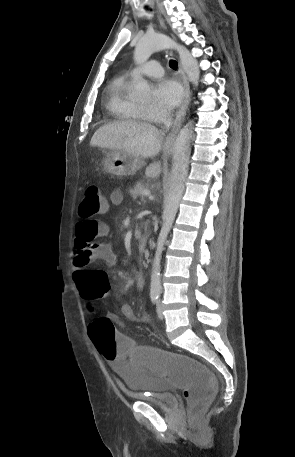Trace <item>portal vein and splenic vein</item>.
<instances>
[{
    "mask_svg": "<svg viewBox=\"0 0 295 457\" xmlns=\"http://www.w3.org/2000/svg\"><path fill=\"white\" fill-rule=\"evenodd\" d=\"M142 195H143V196H149V195H150V191L146 189V190H144V191L142 192Z\"/></svg>",
    "mask_w": 295,
    "mask_h": 457,
    "instance_id": "portal-vein-and-splenic-vein-1",
    "label": "portal vein and splenic vein"
}]
</instances>
